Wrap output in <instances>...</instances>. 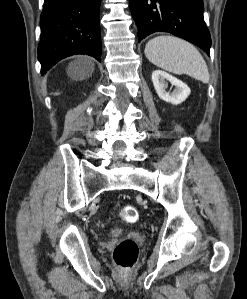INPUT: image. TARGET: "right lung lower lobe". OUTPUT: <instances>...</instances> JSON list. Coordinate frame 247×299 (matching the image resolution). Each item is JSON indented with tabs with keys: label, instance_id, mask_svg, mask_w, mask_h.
I'll return each instance as SVG.
<instances>
[{
	"label": "right lung lower lobe",
	"instance_id": "obj_1",
	"mask_svg": "<svg viewBox=\"0 0 247 299\" xmlns=\"http://www.w3.org/2000/svg\"><path fill=\"white\" fill-rule=\"evenodd\" d=\"M101 0H44L38 60L46 73L60 60L88 54L101 61Z\"/></svg>",
	"mask_w": 247,
	"mask_h": 299
}]
</instances>
